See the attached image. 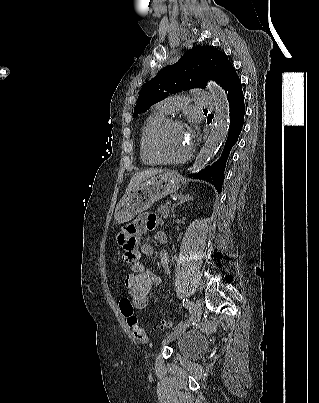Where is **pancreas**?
I'll return each mask as SVG.
<instances>
[{
	"mask_svg": "<svg viewBox=\"0 0 319 403\" xmlns=\"http://www.w3.org/2000/svg\"><path fill=\"white\" fill-rule=\"evenodd\" d=\"M158 214H160L161 215V217H163V218H167L168 216H169V213H170V209H169V206L168 205H160V207H159V209H158Z\"/></svg>",
	"mask_w": 319,
	"mask_h": 403,
	"instance_id": "obj_1",
	"label": "pancreas"
}]
</instances>
